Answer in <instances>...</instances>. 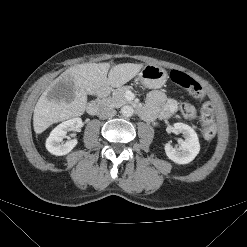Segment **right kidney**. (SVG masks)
<instances>
[{
    "label": "right kidney",
    "mask_w": 247,
    "mask_h": 247,
    "mask_svg": "<svg viewBox=\"0 0 247 247\" xmlns=\"http://www.w3.org/2000/svg\"><path fill=\"white\" fill-rule=\"evenodd\" d=\"M82 127V119L79 117L69 119L55 127L46 140V149L53 155H66L76 146L77 140L72 139L63 143L67 132L79 131Z\"/></svg>",
    "instance_id": "ca27d5eb"
}]
</instances>
